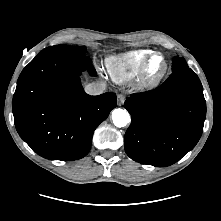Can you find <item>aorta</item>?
I'll return each instance as SVG.
<instances>
[{"instance_id": "762f6f07", "label": "aorta", "mask_w": 221, "mask_h": 221, "mask_svg": "<svg viewBox=\"0 0 221 221\" xmlns=\"http://www.w3.org/2000/svg\"><path fill=\"white\" fill-rule=\"evenodd\" d=\"M112 120L116 127H125L130 121L129 113L124 109H114L112 111Z\"/></svg>"}]
</instances>
